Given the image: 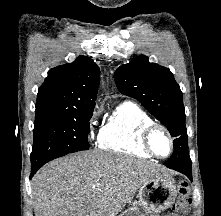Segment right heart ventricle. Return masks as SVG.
I'll return each instance as SVG.
<instances>
[{"label":"right heart ventricle","mask_w":221,"mask_h":216,"mask_svg":"<svg viewBox=\"0 0 221 216\" xmlns=\"http://www.w3.org/2000/svg\"><path fill=\"white\" fill-rule=\"evenodd\" d=\"M152 117L138 104L125 101L118 105L102 125L99 148L118 154L150 158L140 145L141 130L152 124Z\"/></svg>","instance_id":"1"}]
</instances>
